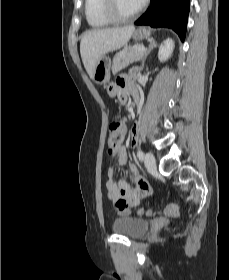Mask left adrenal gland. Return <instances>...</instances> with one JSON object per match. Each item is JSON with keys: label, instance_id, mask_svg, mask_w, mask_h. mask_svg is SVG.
<instances>
[{"label": "left adrenal gland", "instance_id": "obj_1", "mask_svg": "<svg viewBox=\"0 0 229 280\" xmlns=\"http://www.w3.org/2000/svg\"><path fill=\"white\" fill-rule=\"evenodd\" d=\"M156 46H157L156 41H155V40H152V41L150 42V44H149V47H148L147 52L145 53V56H144V59H143V61H142V65H141L140 71L143 70V68H144V62H145L147 56L151 53V51H152Z\"/></svg>", "mask_w": 229, "mask_h": 280}]
</instances>
